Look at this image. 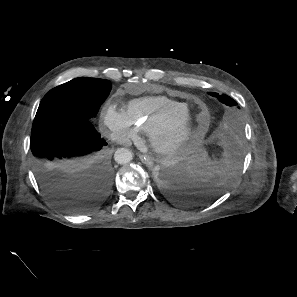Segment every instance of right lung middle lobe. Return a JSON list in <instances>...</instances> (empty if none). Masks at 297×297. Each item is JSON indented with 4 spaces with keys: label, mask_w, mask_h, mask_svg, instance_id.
<instances>
[{
    "label": "right lung middle lobe",
    "mask_w": 297,
    "mask_h": 297,
    "mask_svg": "<svg viewBox=\"0 0 297 297\" xmlns=\"http://www.w3.org/2000/svg\"><path fill=\"white\" fill-rule=\"evenodd\" d=\"M111 89L109 81L76 78L50 90L37 110L32 130L63 119L90 122Z\"/></svg>",
    "instance_id": "right-lung-middle-lobe-1"
}]
</instances>
